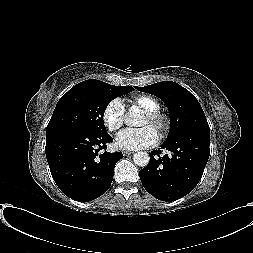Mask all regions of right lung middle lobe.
<instances>
[{"instance_id": "right-lung-middle-lobe-1", "label": "right lung middle lobe", "mask_w": 253, "mask_h": 253, "mask_svg": "<svg viewBox=\"0 0 253 253\" xmlns=\"http://www.w3.org/2000/svg\"><path fill=\"white\" fill-rule=\"evenodd\" d=\"M133 90L95 79L78 83L58 101L46 133L60 129L107 132L103 122L105 108L111 100Z\"/></svg>"}]
</instances>
